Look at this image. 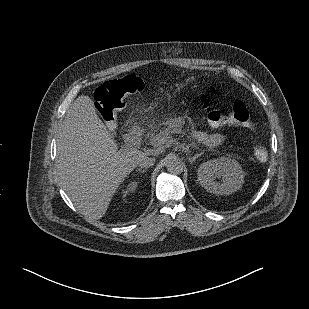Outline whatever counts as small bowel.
<instances>
[{"instance_id": "1", "label": "small bowel", "mask_w": 309, "mask_h": 309, "mask_svg": "<svg viewBox=\"0 0 309 309\" xmlns=\"http://www.w3.org/2000/svg\"><path fill=\"white\" fill-rule=\"evenodd\" d=\"M194 138L206 145L216 146L223 142L224 136L220 133H207L205 131L196 130L192 131Z\"/></svg>"}]
</instances>
